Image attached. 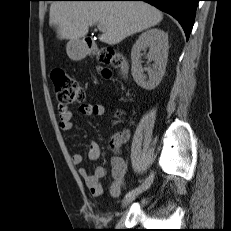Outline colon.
Here are the masks:
<instances>
[{"instance_id": "1", "label": "colon", "mask_w": 231, "mask_h": 231, "mask_svg": "<svg viewBox=\"0 0 231 231\" xmlns=\"http://www.w3.org/2000/svg\"><path fill=\"white\" fill-rule=\"evenodd\" d=\"M118 56L112 48H105L99 53L100 60L106 64H120L121 61ZM109 75V71L104 72L105 77H109ZM51 78L54 84L56 98L61 105L76 104L85 99V92L81 85L65 70H53Z\"/></svg>"}]
</instances>
